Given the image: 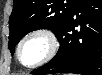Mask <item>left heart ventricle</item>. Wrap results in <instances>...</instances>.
I'll list each match as a JSON object with an SVG mask.
<instances>
[{
  "label": "left heart ventricle",
  "mask_w": 102,
  "mask_h": 75,
  "mask_svg": "<svg viewBox=\"0 0 102 75\" xmlns=\"http://www.w3.org/2000/svg\"><path fill=\"white\" fill-rule=\"evenodd\" d=\"M48 50V42L43 36H34L30 38L22 50V59L25 64L30 63L32 59L42 58Z\"/></svg>",
  "instance_id": "1"
}]
</instances>
